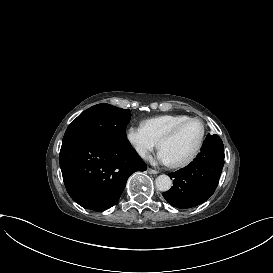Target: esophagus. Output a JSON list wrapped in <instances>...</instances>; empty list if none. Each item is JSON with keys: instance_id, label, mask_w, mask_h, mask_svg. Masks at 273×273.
Segmentation results:
<instances>
[{"instance_id": "34e87169", "label": "esophagus", "mask_w": 273, "mask_h": 273, "mask_svg": "<svg viewBox=\"0 0 273 273\" xmlns=\"http://www.w3.org/2000/svg\"><path fill=\"white\" fill-rule=\"evenodd\" d=\"M147 171L149 174H158L159 173L157 170L152 169V168H148Z\"/></svg>"}]
</instances>
